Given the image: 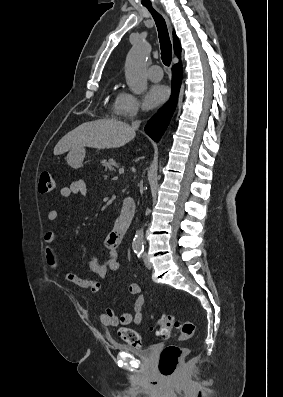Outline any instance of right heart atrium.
Masks as SVG:
<instances>
[{"instance_id":"d8ad5b80","label":"right heart atrium","mask_w":283,"mask_h":397,"mask_svg":"<svg viewBox=\"0 0 283 397\" xmlns=\"http://www.w3.org/2000/svg\"><path fill=\"white\" fill-rule=\"evenodd\" d=\"M143 111L140 100L129 92L120 93L114 105L115 114L128 120L138 117Z\"/></svg>"}]
</instances>
